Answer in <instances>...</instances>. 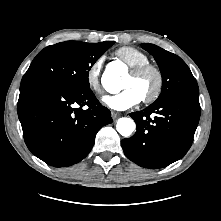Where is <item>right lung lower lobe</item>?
<instances>
[{
    "label": "right lung lower lobe",
    "mask_w": 221,
    "mask_h": 221,
    "mask_svg": "<svg viewBox=\"0 0 221 221\" xmlns=\"http://www.w3.org/2000/svg\"><path fill=\"white\" fill-rule=\"evenodd\" d=\"M79 105L78 108H74ZM87 105L88 109L82 107ZM18 117L28 149L45 163L66 167L85 158L96 133L112 123L92 90L46 80L22 81Z\"/></svg>",
    "instance_id": "obj_1"
}]
</instances>
